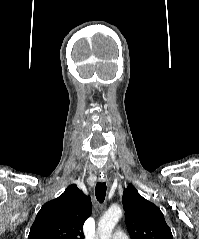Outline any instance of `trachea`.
<instances>
[{
	"mask_svg": "<svg viewBox=\"0 0 199 239\" xmlns=\"http://www.w3.org/2000/svg\"><path fill=\"white\" fill-rule=\"evenodd\" d=\"M106 183L104 182H98L95 187V195L97 200L102 203L105 200L106 196Z\"/></svg>",
	"mask_w": 199,
	"mask_h": 239,
	"instance_id": "1",
	"label": "trachea"
}]
</instances>
